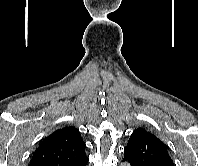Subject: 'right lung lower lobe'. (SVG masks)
<instances>
[{
	"mask_svg": "<svg viewBox=\"0 0 198 166\" xmlns=\"http://www.w3.org/2000/svg\"><path fill=\"white\" fill-rule=\"evenodd\" d=\"M87 162H85L84 164H80L79 166H86L87 165Z\"/></svg>",
	"mask_w": 198,
	"mask_h": 166,
	"instance_id": "obj_1",
	"label": "right lung lower lobe"
}]
</instances>
